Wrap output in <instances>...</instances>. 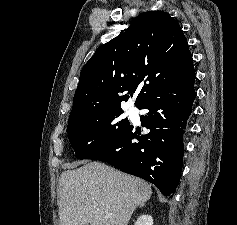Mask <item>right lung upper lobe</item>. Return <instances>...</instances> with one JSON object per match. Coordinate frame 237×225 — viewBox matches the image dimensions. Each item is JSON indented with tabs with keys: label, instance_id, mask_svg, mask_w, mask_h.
<instances>
[{
	"label": "right lung upper lobe",
	"instance_id": "obj_1",
	"mask_svg": "<svg viewBox=\"0 0 237 225\" xmlns=\"http://www.w3.org/2000/svg\"><path fill=\"white\" fill-rule=\"evenodd\" d=\"M195 71L187 39L166 12L150 11L101 45L80 73L68 124L111 110L140 91L139 107L165 85L194 83Z\"/></svg>",
	"mask_w": 237,
	"mask_h": 225
}]
</instances>
